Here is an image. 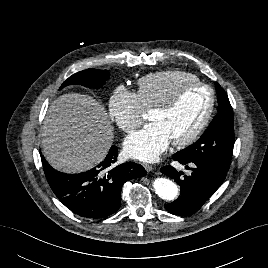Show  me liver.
<instances>
[{"label": "liver", "mask_w": 268, "mask_h": 268, "mask_svg": "<svg viewBox=\"0 0 268 268\" xmlns=\"http://www.w3.org/2000/svg\"><path fill=\"white\" fill-rule=\"evenodd\" d=\"M41 137L43 154L53 168L81 173L105 158L114 135L103 105L91 96L71 93L50 104Z\"/></svg>", "instance_id": "obj_1"}]
</instances>
